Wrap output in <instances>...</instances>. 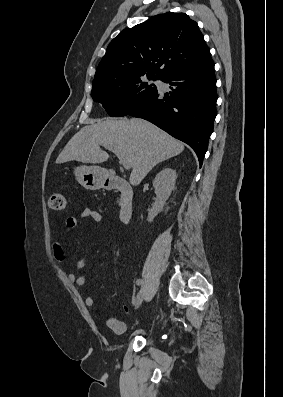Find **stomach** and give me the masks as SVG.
Returning a JSON list of instances; mask_svg holds the SVG:
<instances>
[{"label":"stomach","instance_id":"1","mask_svg":"<svg viewBox=\"0 0 283 397\" xmlns=\"http://www.w3.org/2000/svg\"><path fill=\"white\" fill-rule=\"evenodd\" d=\"M74 174L77 181L89 190L103 188L107 178L106 171L99 166H77L74 169Z\"/></svg>","mask_w":283,"mask_h":397}]
</instances>
